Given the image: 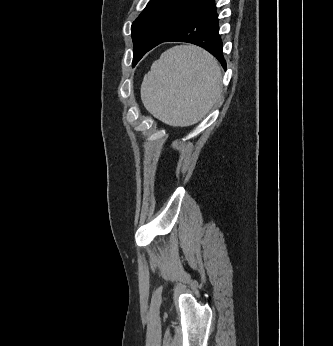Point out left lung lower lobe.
<instances>
[{
    "mask_svg": "<svg viewBox=\"0 0 333 346\" xmlns=\"http://www.w3.org/2000/svg\"><path fill=\"white\" fill-rule=\"evenodd\" d=\"M170 41L188 42L203 47L226 69L215 0H210L170 35L152 45L149 50L160 43Z\"/></svg>",
    "mask_w": 333,
    "mask_h": 346,
    "instance_id": "1",
    "label": "left lung lower lobe"
}]
</instances>
